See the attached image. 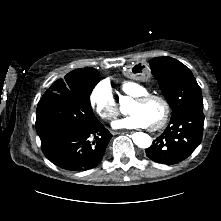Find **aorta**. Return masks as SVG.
<instances>
[{
	"label": "aorta",
	"mask_w": 221,
	"mask_h": 221,
	"mask_svg": "<svg viewBox=\"0 0 221 221\" xmlns=\"http://www.w3.org/2000/svg\"><path fill=\"white\" fill-rule=\"evenodd\" d=\"M133 142L140 148H148L152 144V138L143 132H136L132 135Z\"/></svg>",
	"instance_id": "obj_1"
}]
</instances>
